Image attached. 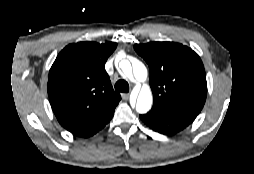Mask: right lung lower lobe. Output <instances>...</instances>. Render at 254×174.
Segmentation results:
<instances>
[{
  "instance_id": "98d812e1",
  "label": "right lung lower lobe",
  "mask_w": 254,
  "mask_h": 174,
  "mask_svg": "<svg viewBox=\"0 0 254 174\" xmlns=\"http://www.w3.org/2000/svg\"><path fill=\"white\" fill-rule=\"evenodd\" d=\"M114 110L115 108L77 128L70 130V132L79 137H90L101 130L111 120Z\"/></svg>"
}]
</instances>
